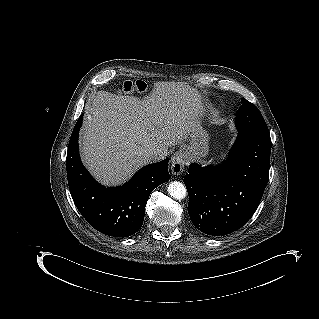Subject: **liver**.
I'll list each match as a JSON object with an SVG mask.
<instances>
[{
    "instance_id": "1",
    "label": "liver",
    "mask_w": 319,
    "mask_h": 319,
    "mask_svg": "<svg viewBox=\"0 0 319 319\" xmlns=\"http://www.w3.org/2000/svg\"><path fill=\"white\" fill-rule=\"evenodd\" d=\"M194 92L161 82L140 100L99 91L87 103L80 133L84 165L104 185H119L148 164L147 153L168 152L200 127Z\"/></svg>"
}]
</instances>
